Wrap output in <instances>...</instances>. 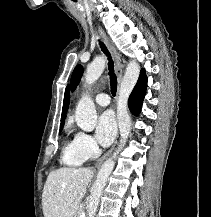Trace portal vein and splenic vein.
I'll return each mask as SVG.
<instances>
[{
    "instance_id": "18ae733b",
    "label": "portal vein and splenic vein",
    "mask_w": 211,
    "mask_h": 217,
    "mask_svg": "<svg viewBox=\"0 0 211 217\" xmlns=\"http://www.w3.org/2000/svg\"><path fill=\"white\" fill-rule=\"evenodd\" d=\"M79 217H85L84 214H81Z\"/></svg>"
}]
</instances>
